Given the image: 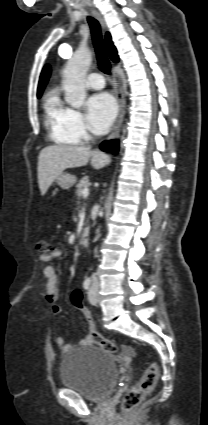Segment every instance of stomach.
I'll return each instance as SVG.
<instances>
[{"label": "stomach", "mask_w": 208, "mask_h": 425, "mask_svg": "<svg viewBox=\"0 0 208 425\" xmlns=\"http://www.w3.org/2000/svg\"><path fill=\"white\" fill-rule=\"evenodd\" d=\"M76 181V176L69 173H61L56 178V182L64 190L71 188L76 183Z\"/></svg>", "instance_id": "0dacf381"}]
</instances>
